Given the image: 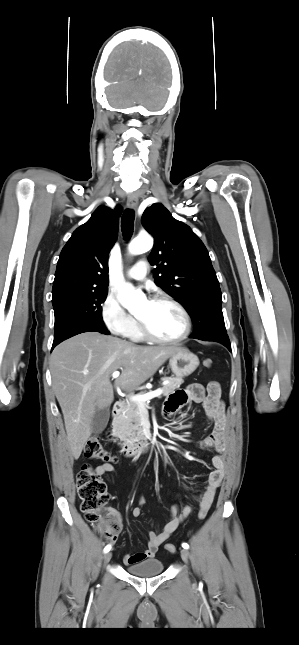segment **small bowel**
Instances as JSON below:
<instances>
[{
    "label": "small bowel",
    "instance_id": "1",
    "mask_svg": "<svg viewBox=\"0 0 299 645\" xmlns=\"http://www.w3.org/2000/svg\"><path fill=\"white\" fill-rule=\"evenodd\" d=\"M189 403H201L208 421L214 424L211 434L200 442L203 448H213L217 454L211 459L213 470L209 473L205 490L199 495L200 509L208 511L214 500L216 491L224 477L225 460L227 452V429L224 415V404L221 400V391L218 383L212 382L205 389L201 384L193 383L183 390L174 392L164 404V413L167 416L175 414L179 409ZM114 466L111 463H102L96 468L99 476L111 473ZM146 500L143 496L138 499V505L132 509V515L140 518L143 514L142 506ZM192 508L184 506L178 514V507L175 505L170 511V516L161 532L150 531L148 533L147 548L143 552L126 554L124 563L132 565L155 557L159 547L173 534L179 525L190 515ZM110 515L120 527L122 516L115 509L109 510Z\"/></svg>",
    "mask_w": 299,
    "mask_h": 645
}]
</instances>
